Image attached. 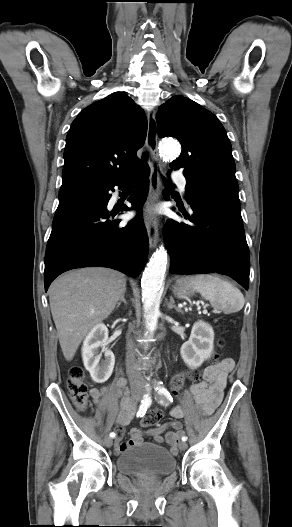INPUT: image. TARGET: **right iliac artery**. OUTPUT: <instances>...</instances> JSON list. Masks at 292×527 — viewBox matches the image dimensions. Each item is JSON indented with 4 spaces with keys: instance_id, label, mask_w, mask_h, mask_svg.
Returning a JSON list of instances; mask_svg holds the SVG:
<instances>
[{
    "instance_id": "1",
    "label": "right iliac artery",
    "mask_w": 292,
    "mask_h": 527,
    "mask_svg": "<svg viewBox=\"0 0 292 527\" xmlns=\"http://www.w3.org/2000/svg\"><path fill=\"white\" fill-rule=\"evenodd\" d=\"M151 397H150V394L149 393H146L144 396H143V400L141 401V405L139 407V410H138V413H137V416H143L147 410V408L151 405ZM115 433L114 432H111L110 433V437L111 438H114L115 437Z\"/></svg>"
}]
</instances>
